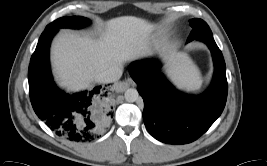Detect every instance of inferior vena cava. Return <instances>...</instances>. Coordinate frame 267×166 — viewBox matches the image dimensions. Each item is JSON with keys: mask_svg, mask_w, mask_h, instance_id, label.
Listing matches in <instances>:
<instances>
[{"mask_svg": "<svg viewBox=\"0 0 267 166\" xmlns=\"http://www.w3.org/2000/svg\"><path fill=\"white\" fill-rule=\"evenodd\" d=\"M122 72L123 70L120 67H111L108 70L101 72L98 75V79L104 83L115 82L120 79Z\"/></svg>", "mask_w": 267, "mask_h": 166, "instance_id": "1", "label": "inferior vena cava"}]
</instances>
